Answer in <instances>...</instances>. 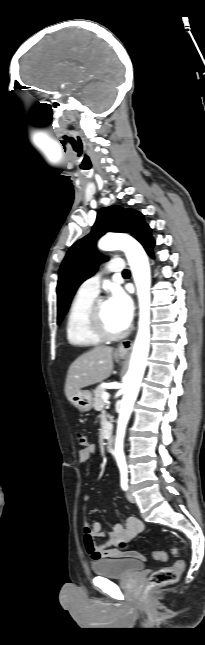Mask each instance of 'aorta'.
Listing matches in <instances>:
<instances>
[{
    "mask_svg": "<svg viewBox=\"0 0 205 645\" xmlns=\"http://www.w3.org/2000/svg\"><path fill=\"white\" fill-rule=\"evenodd\" d=\"M99 248L104 251L120 249L125 252L136 284L139 300L138 332L127 373V385L121 402L115 440L116 460L118 464H123L125 463L123 451L125 430L140 389L149 353L151 274L147 255L143 247L135 239L126 235L111 234L99 241Z\"/></svg>",
    "mask_w": 205,
    "mask_h": 645,
    "instance_id": "762f6f07",
    "label": "aorta"
}]
</instances>
